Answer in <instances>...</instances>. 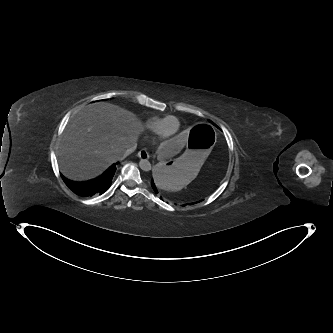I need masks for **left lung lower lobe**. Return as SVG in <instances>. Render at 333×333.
<instances>
[{
  "mask_svg": "<svg viewBox=\"0 0 333 333\" xmlns=\"http://www.w3.org/2000/svg\"><path fill=\"white\" fill-rule=\"evenodd\" d=\"M151 186H152V188H153V190H154L155 193L158 194V193L160 192L161 187L157 186V185L154 183L153 180H151Z\"/></svg>",
  "mask_w": 333,
  "mask_h": 333,
  "instance_id": "obj_1",
  "label": "left lung lower lobe"
}]
</instances>
